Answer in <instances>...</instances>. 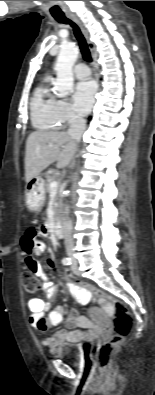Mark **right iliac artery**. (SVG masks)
Listing matches in <instances>:
<instances>
[{
  "label": "right iliac artery",
  "mask_w": 155,
  "mask_h": 395,
  "mask_svg": "<svg viewBox=\"0 0 155 395\" xmlns=\"http://www.w3.org/2000/svg\"><path fill=\"white\" fill-rule=\"evenodd\" d=\"M62 263H63L64 265H70V264H71V259L68 258V257L63 258Z\"/></svg>",
  "instance_id": "82829eb1"
}]
</instances>
